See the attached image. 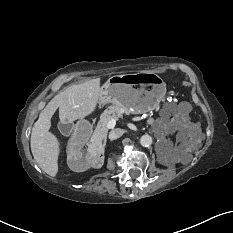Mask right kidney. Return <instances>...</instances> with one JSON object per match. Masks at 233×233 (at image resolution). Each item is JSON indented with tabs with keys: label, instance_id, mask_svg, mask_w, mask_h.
I'll return each mask as SVG.
<instances>
[{
	"label": "right kidney",
	"instance_id": "right-kidney-1",
	"mask_svg": "<svg viewBox=\"0 0 233 233\" xmlns=\"http://www.w3.org/2000/svg\"><path fill=\"white\" fill-rule=\"evenodd\" d=\"M104 159V145L93 144L85 157L73 147L67 148V164L74 172H84L91 167L99 169L103 166Z\"/></svg>",
	"mask_w": 233,
	"mask_h": 233
}]
</instances>
